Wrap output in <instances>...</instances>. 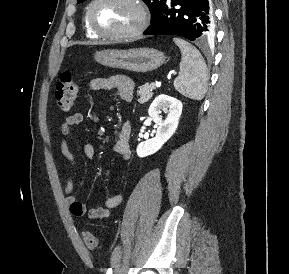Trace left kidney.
<instances>
[{"mask_svg":"<svg viewBox=\"0 0 289 274\" xmlns=\"http://www.w3.org/2000/svg\"><path fill=\"white\" fill-rule=\"evenodd\" d=\"M182 107L181 101L174 97L162 94L155 98L148 113L157 126V133L154 138L141 142L137 146L136 152L139 157L156 153L171 138L178 127ZM161 110L166 114L165 119L160 115Z\"/></svg>","mask_w":289,"mask_h":274,"instance_id":"left-kidney-1","label":"left kidney"}]
</instances>
